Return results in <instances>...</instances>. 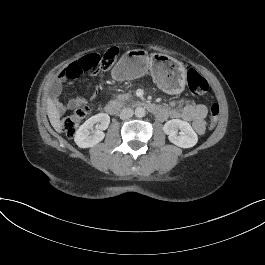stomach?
Segmentation results:
<instances>
[{
  "instance_id": "stomach-1",
  "label": "stomach",
  "mask_w": 265,
  "mask_h": 265,
  "mask_svg": "<svg viewBox=\"0 0 265 265\" xmlns=\"http://www.w3.org/2000/svg\"><path fill=\"white\" fill-rule=\"evenodd\" d=\"M148 71L154 81L166 92L181 93L185 87V68L178 60L165 54H152L141 49L126 52L114 68L117 80H131Z\"/></svg>"
}]
</instances>
